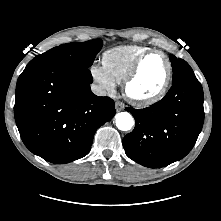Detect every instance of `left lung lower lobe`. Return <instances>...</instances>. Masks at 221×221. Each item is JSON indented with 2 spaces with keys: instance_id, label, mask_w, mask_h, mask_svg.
Instances as JSON below:
<instances>
[{
  "instance_id": "obj_1",
  "label": "left lung lower lobe",
  "mask_w": 221,
  "mask_h": 221,
  "mask_svg": "<svg viewBox=\"0 0 221 221\" xmlns=\"http://www.w3.org/2000/svg\"><path fill=\"white\" fill-rule=\"evenodd\" d=\"M203 89L195 76L173 83L166 96L144 109L128 107L134 130L123 138L126 155L150 168L184 158L193 148L204 121Z\"/></svg>"
}]
</instances>
